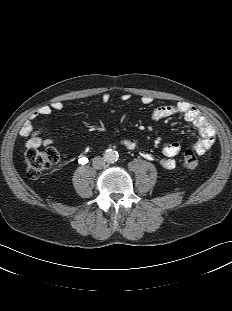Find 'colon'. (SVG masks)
<instances>
[{"label": "colon", "instance_id": "obj_1", "mask_svg": "<svg viewBox=\"0 0 232 311\" xmlns=\"http://www.w3.org/2000/svg\"><path fill=\"white\" fill-rule=\"evenodd\" d=\"M61 157V149L49 146L45 150L30 149L25 152L24 160L26 173L30 179L40 177L46 170L56 165ZM184 166L195 169L198 165V157L194 150L188 149L183 154Z\"/></svg>", "mask_w": 232, "mask_h": 311}]
</instances>
